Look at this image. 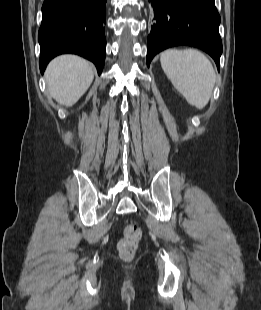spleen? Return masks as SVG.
<instances>
[{"label": "spleen", "mask_w": 261, "mask_h": 310, "mask_svg": "<svg viewBox=\"0 0 261 310\" xmlns=\"http://www.w3.org/2000/svg\"><path fill=\"white\" fill-rule=\"evenodd\" d=\"M161 67L175 89L197 109L209 102L216 81L209 59L196 50H167L160 56Z\"/></svg>", "instance_id": "spleen-1"}]
</instances>
